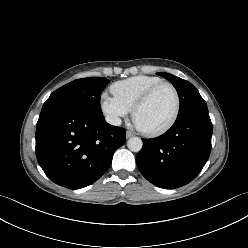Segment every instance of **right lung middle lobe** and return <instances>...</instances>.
Segmentation results:
<instances>
[{
	"instance_id": "obj_1",
	"label": "right lung middle lobe",
	"mask_w": 248,
	"mask_h": 248,
	"mask_svg": "<svg viewBox=\"0 0 248 248\" xmlns=\"http://www.w3.org/2000/svg\"><path fill=\"white\" fill-rule=\"evenodd\" d=\"M109 80L101 77H90L74 80L55 90L43 108L69 104L85 108L93 113L102 114L100 97Z\"/></svg>"
}]
</instances>
